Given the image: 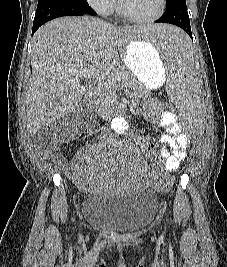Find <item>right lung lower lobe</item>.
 I'll return each instance as SVG.
<instances>
[{"mask_svg":"<svg viewBox=\"0 0 227 267\" xmlns=\"http://www.w3.org/2000/svg\"><path fill=\"white\" fill-rule=\"evenodd\" d=\"M96 15L86 0H38V6L33 22L32 35L45 22L62 16Z\"/></svg>","mask_w":227,"mask_h":267,"instance_id":"1","label":"right lung lower lobe"}]
</instances>
